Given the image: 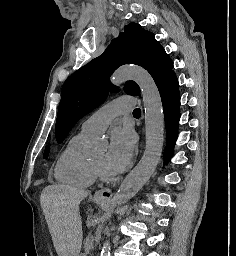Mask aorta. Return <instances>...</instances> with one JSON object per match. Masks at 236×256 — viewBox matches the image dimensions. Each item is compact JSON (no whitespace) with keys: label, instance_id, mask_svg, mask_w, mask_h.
I'll return each instance as SVG.
<instances>
[{"label":"aorta","instance_id":"aorta-1","mask_svg":"<svg viewBox=\"0 0 236 256\" xmlns=\"http://www.w3.org/2000/svg\"><path fill=\"white\" fill-rule=\"evenodd\" d=\"M135 81L141 90L145 108L146 146L144 154L122 182L115 195L118 206L127 203L154 173L160 161L164 141V113L159 90L150 74L141 67L126 65L119 68L111 79L113 84ZM101 256H110V242L106 240Z\"/></svg>","mask_w":236,"mask_h":256}]
</instances>
